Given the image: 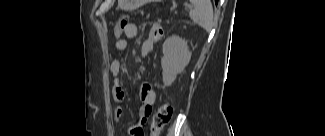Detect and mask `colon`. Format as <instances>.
I'll return each instance as SVG.
<instances>
[{
  "label": "colon",
  "mask_w": 325,
  "mask_h": 136,
  "mask_svg": "<svg viewBox=\"0 0 325 136\" xmlns=\"http://www.w3.org/2000/svg\"><path fill=\"white\" fill-rule=\"evenodd\" d=\"M130 24L128 16H122L114 28L116 39L123 36L124 29ZM173 114L172 106L168 103L161 105L153 116L150 126V136H157L162 128L170 121Z\"/></svg>",
  "instance_id": "obj_1"
}]
</instances>
